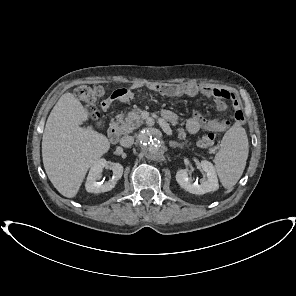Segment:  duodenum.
Returning a JSON list of instances; mask_svg holds the SVG:
<instances>
[{"mask_svg": "<svg viewBox=\"0 0 296 296\" xmlns=\"http://www.w3.org/2000/svg\"><path fill=\"white\" fill-rule=\"evenodd\" d=\"M108 137L112 143H116L120 137V130L117 123L112 122L108 129Z\"/></svg>", "mask_w": 296, "mask_h": 296, "instance_id": "obj_1", "label": "duodenum"}]
</instances>
